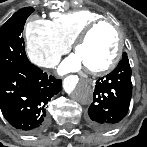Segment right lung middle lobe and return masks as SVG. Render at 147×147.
Wrapping results in <instances>:
<instances>
[{
  "label": "right lung middle lobe",
  "mask_w": 147,
  "mask_h": 147,
  "mask_svg": "<svg viewBox=\"0 0 147 147\" xmlns=\"http://www.w3.org/2000/svg\"><path fill=\"white\" fill-rule=\"evenodd\" d=\"M33 11L31 7L19 10L0 28V76L30 63L21 32L26 19Z\"/></svg>",
  "instance_id": "obj_1"
}]
</instances>
